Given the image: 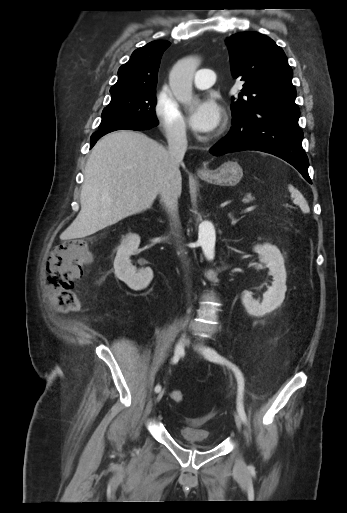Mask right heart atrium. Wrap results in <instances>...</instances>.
<instances>
[{
    "instance_id": "d8ad5b80",
    "label": "right heart atrium",
    "mask_w": 347,
    "mask_h": 513,
    "mask_svg": "<svg viewBox=\"0 0 347 513\" xmlns=\"http://www.w3.org/2000/svg\"><path fill=\"white\" fill-rule=\"evenodd\" d=\"M153 112L159 127L169 141L186 140L188 130L185 117L167 85H163L156 93Z\"/></svg>"
}]
</instances>
